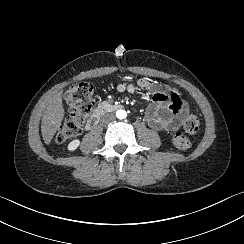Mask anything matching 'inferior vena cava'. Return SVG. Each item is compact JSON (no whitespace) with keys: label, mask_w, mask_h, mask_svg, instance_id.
Returning a JSON list of instances; mask_svg holds the SVG:
<instances>
[{"label":"inferior vena cava","mask_w":244,"mask_h":244,"mask_svg":"<svg viewBox=\"0 0 244 244\" xmlns=\"http://www.w3.org/2000/svg\"><path fill=\"white\" fill-rule=\"evenodd\" d=\"M115 120V116L113 114H105L102 119L101 122L102 123H110L111 121Z\"/></svg>","instance_id":"obj_1"}]
</instances>
